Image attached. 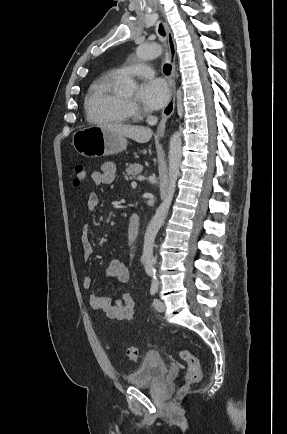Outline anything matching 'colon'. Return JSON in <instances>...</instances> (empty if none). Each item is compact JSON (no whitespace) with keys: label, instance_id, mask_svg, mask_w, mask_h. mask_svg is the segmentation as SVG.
<instances>
[{"label":"colon","instance_id":"colon-1","mask_svg":"<svg viewBox=\"0 0 287 434\" xmlns=\"http://www.w3.org/2000/svg\"><path fill=\"white\" fill-rule=\"evenodd\" d=\"M85 177L86 171L84 166L81 163L76 164L73 168V186L79 187L84 182ZM125 353L130 360L136 361L138 359V349L135 346L127 347ZM177 353L180 358L188 364L189 367L184 386V389H187L197 384L202 378L200 362L198 358L187 349H181L177 351Z\"/></svg>","mask_w":287,"mask_h":434}]
</instances>
